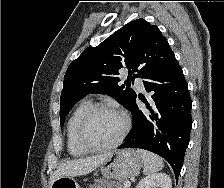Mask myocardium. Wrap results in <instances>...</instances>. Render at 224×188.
Listing matches in <instances>:
<instances>
[{
	"mask_svg": "<svg viewBox=\"0 0 224 188\" xmlns=\"http://www.w3.org/2000/svg\"><path fill=\"white\" fill-rule=\"evenodd\" d=\"M101 111H111L119 114L123 119V129L119 134V136L113 142L103 145H97L88 140L86 130L93 116ZM130 127H131L130 118L123 109L112 104L100 103L93 105L81 118L77 128V140L79 144L88 151L108 150L117 147L123 142V140L125 139L130 130Z\"/></svg>",
	"mask_w": 224,
	"mask_h": 188,
	"instance_id": "myocardium-1",
	"label": "myocardium"
}]
</instances>
